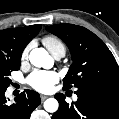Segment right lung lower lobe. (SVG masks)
<instances>
[{
  "mask_svg": "<svg viewBox=\"0 0 119 119\" xmlns=\"http://www.w3.org/2000/svg\"><path fill=\"white\" fill-rule=\"evenodd\" d=\"M6 90H0V119H29L32 111L40 104V96L33 90H26L9 105L4 96Z\"/></svg>",
  "mask_w": 119,
  "mask_h": 119,
  "instance_id": "obj_1",
  "label": "right lung lower lobe"
}]
</instances>
